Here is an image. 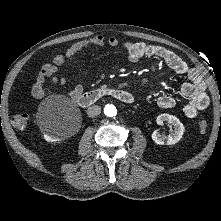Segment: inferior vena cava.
Here are the masks:
<instances>
[{
	"label": "inferior vena cava",
	"mask_w": 221,
	"mask_h": 221,
	"mask_svg": "<svg viewBox=\"0 0 221 221\" xmlns=\"http://www.w3.org/2000/svg\"><path fill=\"white\" fill-rule=\"evenodd\" d=\"M101 113V107L98 105L90 106L87 110V115L90 118L96 117Z\"/></svg>",
	"instance_id": "602c4592"
}]
</instances>
